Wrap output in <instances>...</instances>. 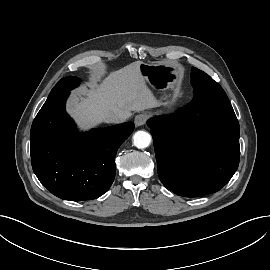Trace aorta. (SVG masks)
I'll use <instances>...</instances> for the list:
<instances>
[{
	"label": "aorta",
	"mask_w": 270,
	"mask_h": 270,
	"mask_svg": "<svg viewBox=\"0 0 270 270\" xmlns=\"http://www.w3.org/2000/svg\"><path fill=\"white\" fill-rule=\"evenodd\" d=\"M151 143V135L146 131H137L133 135V144L139 149L147 148Z\"/></svg>",
	"instance_id": "aorta-1"
}]
</instances>
